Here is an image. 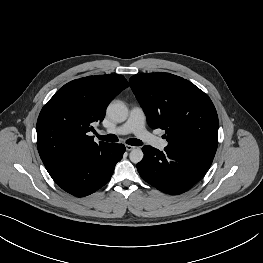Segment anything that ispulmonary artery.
<instances>
[{
	"mask_svg": "<svg viewBox=\"0 0 263 263\" xmlns=\"http://www.w3.org/2000/svg\"><path fill=\"white\" fill-rule=\"evenodd\" d=\"M114 134L133 133L141 141L147 142L158 149H164L167 142L149 133L145 129V114L141 107L135 106L130 110L128 119L118 127L108 130Z\"/></svg>",
	"mask_w": 263,
	"mask_h": 263,
	"instance_id": "pulmonary-artery-1",
	"label": "pulmonary artery"
}]
</instances>
